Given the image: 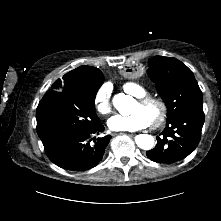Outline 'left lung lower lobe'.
Wrapping results in <instances>:
<instances>
[{"instance_id":"1","label":"left lung lower lobe","mask_w":221,"mask_h":221,"mask_svg":"<svg viewBox=\"0 0 221 221\" xmlns=\"http://www.w3.org/2000/svg\"><path fill=\"white\" fill-rule=\"evenodd\" d=\"M204 120L203 108H197L168 121L161 136L156 137V147L146 152L147 157L154 162L167 164L183 160L199 144ZM172 143L175 144V152L169 159H165L163 147Z\"/></svg>"}]
</instances>
